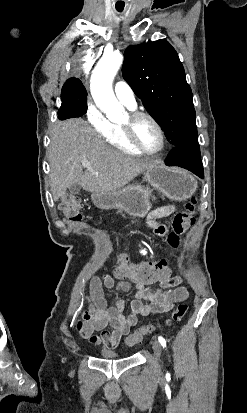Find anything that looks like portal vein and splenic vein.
<instances>
[{
  "label": "portal vein and splenic vein",
  "mask_w": 247,
  "mask_h": 413,
  "mask_svg": "<svg viewBox=\"0 0 247 413\" xmlns=\"http://www.w3.org/2000/svg\"><path fill=\"white\" fill-rule=\"evenodd\" d=\"M83 166H91V162H88V160H82Z\"/></svg>",
  "instance_id": "18ae733b"
}]
</instances>
